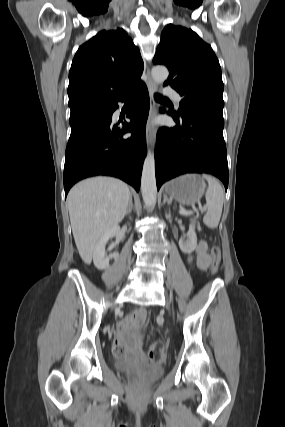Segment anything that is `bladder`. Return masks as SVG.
<instances>
[{
	"mask_svg": "<svg viewBox=\"0 0 285 427\" xmlns=\"http://www.w3.org/2000/svg\"><path fill=\"white\" fill-rule=\"evenodd\" d=\"M136 368H142V375L146 381H154L158 377L163 374L162 368L159 366H153L148 364H140V363H129V364H119L117 365V370L126 375L131 376L136 373Z\"/></svg>",
	"mask_w": 285,
	"mask_h": 427,
	"instance_id": "bladder-1",
	"label": "bladder"
}]
</instances>
